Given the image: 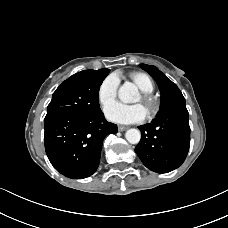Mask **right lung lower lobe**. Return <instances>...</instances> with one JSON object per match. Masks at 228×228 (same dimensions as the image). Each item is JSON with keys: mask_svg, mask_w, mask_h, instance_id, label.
Listing matches in <instances>:
<instances>
[{"mask_svg": "<svg viewBox=\"0 0 228 228\" xmlns=\"http://www.w3.org/2000/svg\"><path fill=\"white\" fill-rule=\"evenodd\" d=\"M46 154L66 177L82 179L98 168L104 138L117 133L102 111L96 114L56 112L44 120Z\"/></svg>", "mask_w": 228, "mask_h": 228, "instance_id": "1", "label": "right lung lower lobe"}]
</instances>
